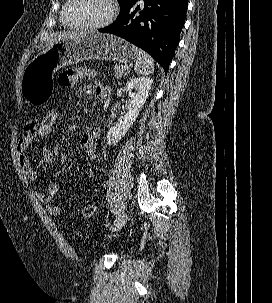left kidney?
<instances>
[{
    "label": "left kidney",
    "instance_id": "1",
    "mask_svg": "<svg viewBox=\"0 0 272 303\" xmlns=\"http://www.w3.org/2000/svg\"><path fill=\"white\" fill-rule=\"evenodd\" d=\"M152 84L153 79L150 77H133L127 81L126 91L131 101L126 107V112L108 131L107 144L109 146L117 144L133 125L149 96Z\"/></svg>",
    "mask_w": 272,
    "mask_h": 303
}]
</instances>
